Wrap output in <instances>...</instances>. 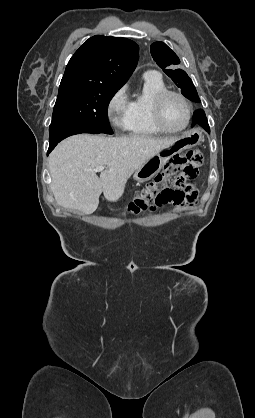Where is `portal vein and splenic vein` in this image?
Returning a JSON list of instances; mask_svg holds the SVG:
<instances>
[{
	"instance_id": "18ae733b",
	"label": "portal vein and splenic vein",
	"mask_w": 255,
	"mask_h": 418,
	"mask_svg": "<svg viewBox=\"0 0 255 418\" xmlns=\"http://www.w3.org/2000/svg\"><path fill=\"white\" fill-rule=\"evenodd\" d=\"M104 166H97L95 169H94V171L95 172H100V171H103L104 170Z\"/></svg>"
}]
</instances>
